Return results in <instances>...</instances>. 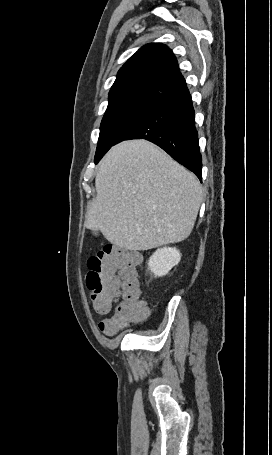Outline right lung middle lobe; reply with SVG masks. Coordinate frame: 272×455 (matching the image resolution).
Listing matches in <instances>:
<instances>
[{
  "mask_svg": "<svg viewBox=\"0 0 272 455\" xmlns=\"http://www.w3.org/2000/svg\"><path fill=\"white\" fill-rule=\"evenodd\" d=\"M164 103L148 98H131L108 104L101 122L95 163L129 128L145 119Z\"/></svg>",
  "mask_w": 272,
  "mask_h": 455,
  "instance_id": "dd1d6c3e",
  "label": "right lung middle lobe"
}]
</instances>
